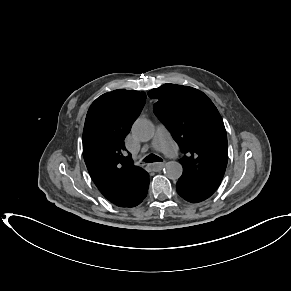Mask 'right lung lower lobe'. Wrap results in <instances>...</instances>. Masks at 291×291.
<instances>
[{
    "mask_svg": "<svg viewBox=\"0 0 291 291\" xmlns=\"http://www.w3.org/2000/svg\"><path fill=\"white\" fill-rule=\"evenodd\" d=\"M148 187H149V186H148ZM147 192H148V188H147V190H145V191L142 193V197H141L140 199L136 200L135 202H131L130 204H128V203H123V202L113 203V204H115V205H117V206H119V207H135V206L139 205V204L143 201V199H144V198L146 197V195H147Z\"/></svg>",
    "mask_w": 291,
    "mask_h": 291,
    "instance_id": "1",
    "label": "right lung lower lobe"
}]
</instances>
